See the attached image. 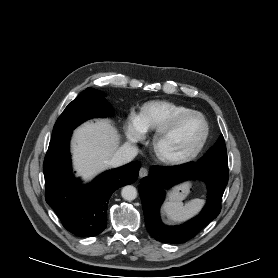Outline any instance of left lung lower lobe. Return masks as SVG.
Returning a JSON list of instances; mask_svg holds the SVG:
<instances>
[{
    "mask_svg": "<svg viewBox=\"0 0 278 278\" xmlns=\"http://www.w3.org/2000/svg\"><path fill=\"white\" fill-rule=\"evenodd\" d=\"M186 180H201L208 189V199L201 213L178 226H167L160 219V207L165 190ZM228 182V172L202 167L190 162L176 167L152 166L149 175L140 181L146 229L157 241L184 243L215 219L221 210V200Z\"/></svg>",
    "mask_w": 278,
    "mask_h": 278,
    "instance_id": "1",
    "label": "left lung lower lobe"
}]
</instances>
